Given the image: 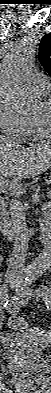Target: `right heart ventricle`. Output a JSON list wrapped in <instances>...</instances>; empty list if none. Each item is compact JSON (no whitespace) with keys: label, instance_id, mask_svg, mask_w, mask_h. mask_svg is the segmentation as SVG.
Wrapping results in <instances>:
<instances>
[{"label":"right heart ventricle","instance_id":"right-heart-ventricle-1","mask_svg":"<svg viewBox=\"0 0 51 393\" xmlns=\"http://www.w3.org/2000/svg\"><path fill=\"white\" fill-rule=\"evenodd\" d=\"M42 95H46V94H42ZM26 136H31V137H35V138H42V133H41L36 121H35V117H27Z\"/></svg>","mask_w":51,"mask_h":393}]
</instances>
